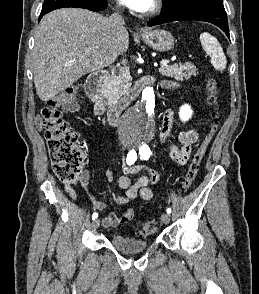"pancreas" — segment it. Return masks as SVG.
I'll list each match as a JSON object with an SVG mask.
<instances>
[{
  "instance_id": "pancreas-1",
  "label": "pancreas",
  "mask_w": 259,
  "mask_h": 294,
  "mask_svg": "<svg viewBox=\"0 0 259 294\" xmlns=\"http://www.w3.org/2000/svg\"><path fill=\"white\" fill-rule=\"evenodd\" d=\"M159 72L163 76L174 78L178 81L190 79L197 75V69L191 62L161 66ZM131 76L127 69H120L118 74H113L105 87L108 104H116L119 99L126 95L131 87Z\"/></svg>"
}]
</instances>
